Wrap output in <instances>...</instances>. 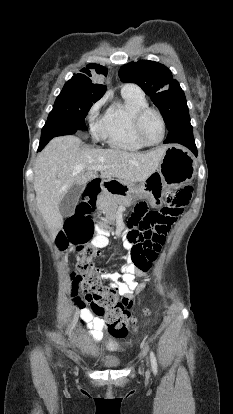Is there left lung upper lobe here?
Wrapping results in <instances>:
<instances>
[{
	"mask_svg": "<svg viewBox=\"0 0 233 414\" xmlns=\"http://www.w3.org/2000/svg\"><path fill=\"white\" fill-rule=\"evenodd\" d=\"M119 76L123 82L138 84L151 97L168 130L181 114L188 112L183 90L163 64L147 60L132 62L121 67Z\"/></svg>",
	"mask_w": 233,
	"mask_h": 414,
	"instance_id": "obj_1",
	"label": "left lung upper lobe"
}]
</instances>
